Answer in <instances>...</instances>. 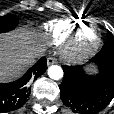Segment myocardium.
Segmentation results:
<instances>
[{
	"instance_id": "f54148a6",
	"label": "myocardium",
	"mask_w": 114,
	"mask_h": 114,
	"mask_svg": "<svg viewBox=\"0 0 114 114\" xmlns=\"http://www.w3.org/2000/svg\"><path fill=\"white\" fill-rule=\"evenodd\" d=\"M91 25L95 30V38L92 42L84 44L79 40V32L84 25ZM101 43V33L98 26L92 21H83L77 24L70 32L66 44L65 51L68 58L72 61H81L93 55L99 48Z\"/></svg>"
}]
</instances>
